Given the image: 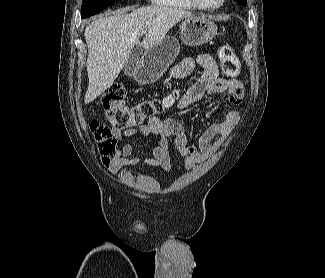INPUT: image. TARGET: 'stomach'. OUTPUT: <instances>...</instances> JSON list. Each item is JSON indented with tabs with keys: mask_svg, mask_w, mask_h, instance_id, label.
I'll return each instance as SVG.
<instances>
[{
	"mask_svg": "<svg viewBox=\"0 0 325 278\" xmlns=\"http://www.w3.org/2000/svg\"><path fill=\"white\" fill-rule=\"evenodd\" d=\"M180 39L188 46H200L216 35V24L205 16L186 18L179 25ZM180 44L176 37L165 36L157 45L146 50L142 62L136 69L135 79L142 84H151L160 79L169 65L176 59Z\"/></svg>",
	"mask_w": 325,
	"mask_h": 278,
	"instance_id": "stomach-1",
	"label": "stomach"
}]
</instances>
